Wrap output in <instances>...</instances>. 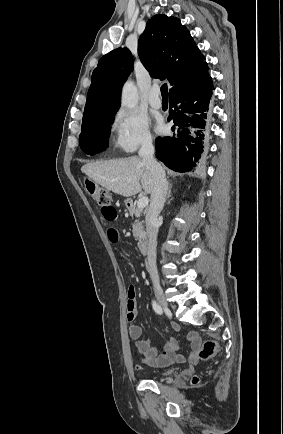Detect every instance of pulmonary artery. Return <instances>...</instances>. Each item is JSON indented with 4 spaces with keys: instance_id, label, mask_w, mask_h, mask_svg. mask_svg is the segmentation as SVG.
<instances>
[{
    "instance_id": "e3ab8cb5",
    "label": "pulmonary artery",
    "mask_w": 283,
    "mask_h": 434,
    "mask_svg": "<svg viewBox=\"0 0 283 434\" xmlns=\"http://www.w3.org/2000/svg\"><path fill=\"white\" fill-rule=\"evenodd\" d=\"M159 95H160V89L158 85H154L149 95V104L154 109H160L162 106V101Z\"/></svg>"
}]
</instances>
